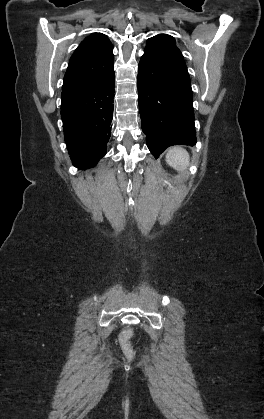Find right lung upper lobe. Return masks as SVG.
Here are the masks:
<instances>
[{
	"label": "right lung upper lobe",
	"instance_id": "1",
	"mask_svg": "<svg viewBox=\"0 0 264 419\" xmlns=\"http://www.w3.org/2000/svg\"><path fill=\"white\" fill-rule=\"evenodd\" d=\"M113 46L106 35L93 33L71 56L62 89L78 88L104 81L114 72Z\"/></svg>",
	"mask_w": 264,
	"mask_h": 419
}]
</instances>
